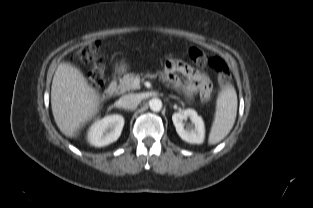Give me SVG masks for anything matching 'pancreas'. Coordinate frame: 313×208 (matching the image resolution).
I'll return each instance as SVG.
<instances>
[{
	"mask_svg": "<svg viewBox=\"0 0 313 208\" xmlns=\"http://www.w3.org/2000/svg\"><path fill=\"white\" fill-rule=\"evenodd\" d=\"M147 76L150 78H155L157 76V74L147 75ZM136 77H137V75H135L133 73L125 74L123 76V78H121L119 80L120 83H119L115 93L120 95V94H123L127 91H130V90L140 89L139 85L134 84V80Z\"/></svg>",
	"mask_w": 313,
	"mask_h": 208,
	"instance_id": "cf45deb5",
	"label": "pancreas"
}]
</instances>
